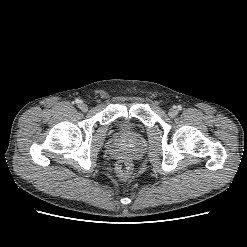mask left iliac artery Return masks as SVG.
Returning <instances> with one entry per match:
<instances>
[{"label":"left iliac artery","mask_w":247,"mask_h":247,"mask_svg":"<svg viewBox=\"0 0 247 247\" xmlns=\"http://www.w3.org/2000/svg\"><path fill=\"white\" fill-rule=\"evenodd\" d=\"M181 109H182V106L179 105V106H178V110H181Z\"/></svg>","instance_id":"left-iliac-artery-1"}]
</instances>
